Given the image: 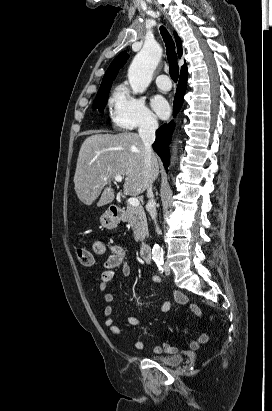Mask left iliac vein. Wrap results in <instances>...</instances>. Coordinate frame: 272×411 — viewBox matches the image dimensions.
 Wrapping results in <instances>:
<instances>
[{
	"instance_id": "left-iliac-vein-1",
	"label": "left iliac vein",
	"mask_w": 272,
	"mask_h": 411,
	"mask_svg": "<svg viewBox=\"0 0 272 411\" xmlns=\"http://www.w3.org/2000/svg\"><path fill=\"white\" fill-rule=\"evenodd\" d=\"M164 272H165L166 275L170 274V268H169L168 264L164 265Z\"/></svg>"
}]
</instances>
